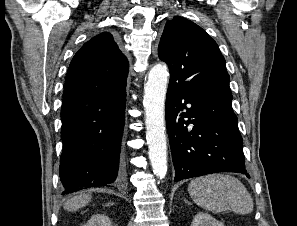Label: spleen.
Returning <instances> with one entry per match:
<instances>
[{
	"label": "spleen",
	"mask_w": 297,
	"mask_h": 226,
	"mask_svg": "<svg viewBox=\"0 0 297 226\" xmlns=\"http://www.w3.org/2000/svg\"><path fill=\"white\" fill-rule=\"evenodd\" d=\"M188 192L194 203L213 212L226 210L249 214L254 203L246 187L237 178L225 174H212L193 179Z\"/></svg>",
	"instance_id": "3e777b00"
}]
</instances>
